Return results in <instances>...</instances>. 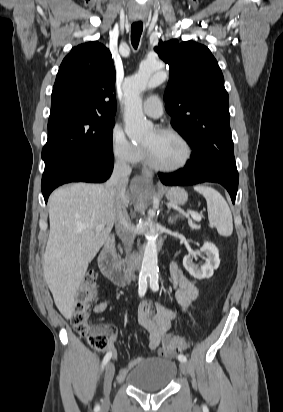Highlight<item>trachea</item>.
Listing matches in <instances>:
<instances>
[{
  "label": "trachea",
  "instance_id": "trachea-1",
  "mask_svg": "<svg viewBox=\"0 0 283 412\" xmlns=\"http://www.w3.org/2000/svg\"><path fill=\"white\" fill-rule=\"evenodd\" d=\"M143 31V24L136 22L131 25V43L135 49H137L140 41V37Z\"/></svg>",
  "mask_w": 283,
  "mask_h": 412
}]
</instances>
